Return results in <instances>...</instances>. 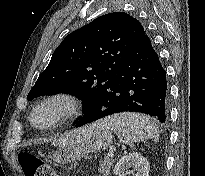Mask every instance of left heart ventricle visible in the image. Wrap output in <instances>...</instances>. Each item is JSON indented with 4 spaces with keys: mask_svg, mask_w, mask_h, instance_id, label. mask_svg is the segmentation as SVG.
<instances>
[{
    "mask_svg": "<svg viewBox=\"0 0 205 176\" xmlns=\"http://www.w3.org/2000/svg\"><path fill=\"white\" fill-rule=\"evenodd\" d=\"M56 115L54 107H47L39 110L35 116L34 121L39 125H46L50 123Z\"/></svg>",
    "mask_w": 205,
    "mask_h": 176,
    "instance_id": "obj_1",
    "label": "left heart ventricle"
}]
</instances>
